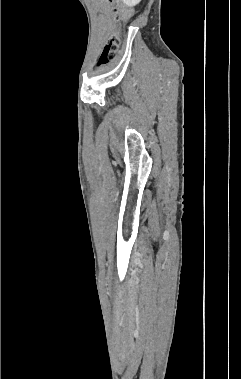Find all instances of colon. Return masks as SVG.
I'll list each match as a JSON object with an SVG mask.
<instances>
[{"mask_svg": "<svg viewBox=\"0 0 241 379\" xmlns=\"http://www.w3.org/2000/svg\"><path fill=\"white\" fill-rule=\"evenodd\" d=\"M107 6L112 7V10L114 12L115 18H118L119 21H124L125 24H130L131 20V15L133 14V9L132 8H117L114 9L113 5L115 0H102ZM119 45V35L117 33H113L109 36L107 39V42L101 52L100 55V60H99V65H107L110 62H112L117 53Z\"/></svg>", "mask_w": 241, "mask_h": 379, "instance_id": "obj_1", "label": "colon"}]
</instances>
